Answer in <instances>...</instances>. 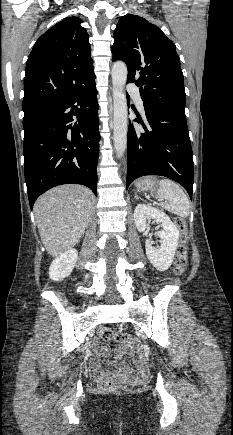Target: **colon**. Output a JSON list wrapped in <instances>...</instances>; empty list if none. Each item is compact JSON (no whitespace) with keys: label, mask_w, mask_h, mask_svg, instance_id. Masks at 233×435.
I'll use <instances>...</instances> for the list:
<instances>
[{"label":"colon","mask_w":233,"mask_h":435,"mask_svg":"<svg viewBox=\"0 0 233 435\" xmlns=\"http://www.w3.org/2000/svg\"><path fill=\"white\" fill-rule=\"evenodd\" d=\"M174 223L176 227L181 232L182 240L177 246L175 255V267L174 272L176 275L181 276L184 273L185 267L187 265V252L188 245L186 241L187 225L183 218L175 217ZM98 336L103 341L114 340L117 343H126L131 345L139 346L138 342L134 340L130 334L125 332L114 333L108 327H101L98 330ZM125 385L113 379H105L101 383V390L106 394H114L124 390Z\"/></svg>","instance_id":"colon-1"}]
</instances>
